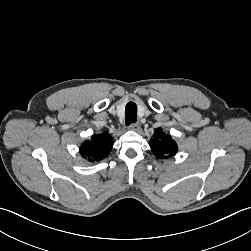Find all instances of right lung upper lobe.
<instances>
[{
	"instance_id": "cb5924a9",
	"label": "right lung upper lobe",
	"mask_w": 251,
	"mask_h": 251,
	"mask_svg": "<svg viewBox=\"0 0 251 251\" xmlns=\"http://www.w3.org/2000/svg\"><path fill=\"white\" fill-rule=\"evenodd\" d=\"M113 138L104 132L100 135H93L91 140H86L80 147V153L89 161H99L106 158L113 146Z\"/></svg>"
}]
</instances>
